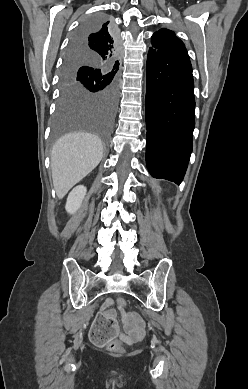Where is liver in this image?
Here are the masks:
<instances>
[{
	"label": "liver",
	"instance_id": "1",
	"mask_svg": "<svg viewBox=\"0 0 248 389\" xmlns=\"http://www.w3.org/2000/svg\"><path fill=\"white\" fill-rule=\"evenodd\" d=\"M103 157L101 139L91 133L73 132L60 137L51 150L53 185L59 199L93 169Z\"/></svg>",
	"mask_w": 248,
	"mask_h": 389
}]
</instances>
